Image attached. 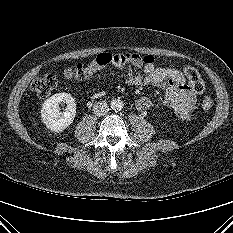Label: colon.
<instances>
[{
  "mask_svg": "<svg viewBox=\"0 0 233 233\" xmlns=\"http://www.w3.org/2000/svg\"><path fill=\"white\" fill-rule=\"evenodd\" d=\"M144 64H152L154 58L151 56L141 57ZM114 57L111 54L102 53L94 57L89 63H69L63 69V75L68 79L83 80L95 73L97 70L111 65ZM185 73L190 87L196 93H202L205 88L204 81L197 70L186 68ZM57 86V77L53 72H46L35 77L31 82V89L41 98L48 97ZM213 106L210 97H204L202 107L209 111Z\"/></svg>",
  "mask_w": 233,
  "mask_h": 233,
  "instance_id": "obj_1",
  "label": "colon"
}]
</instances>
